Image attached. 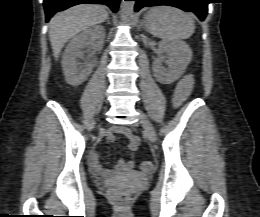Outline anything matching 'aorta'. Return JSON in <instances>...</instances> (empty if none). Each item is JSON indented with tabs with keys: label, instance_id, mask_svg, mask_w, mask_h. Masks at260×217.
I'll return each mask as SVG.
<instances>
[{
	"label": "aorta",
	"instance_id": "1",
	"mask_svg": "<svg viewBox=\"0 0 260 217\" xmlns=\"http://www.w3.org/2000/svg\"><path fill=\"white\" fill-rule=\"evenodd\" d=\"M134 6H135L134 1L122 0L120 14H121V18L125 22L131 21V19L133 17V12H134Z\"/></svg>",
	"mask_w": 260,
	"mask_h": 217
}]
</instances>
